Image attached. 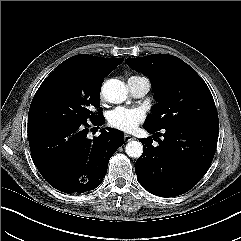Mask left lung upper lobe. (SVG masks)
Listing matches in <instances>:
<instances>
[{
	"label": "left lung upper lobe",
	"instance_id": "obj_1",
	"mask_svg": "<svg viewBox=\"0 0 241 241\" xmlns=\"http://www.w3.org/2000/svg\"><path fill=\"white\" fill-rule=\"evenodd\" d=\"M126 63L151 79L158 102L144 127L161 130L187 124L219 128L217 109L208 86L183 60L168 54H152L128 58Z\"/></svg>",
	"mask_w": 241,
	"mask_h": 241
}]
</instances>
